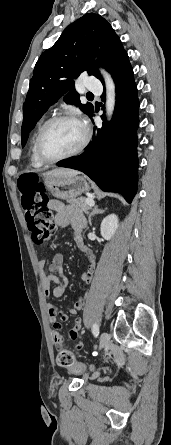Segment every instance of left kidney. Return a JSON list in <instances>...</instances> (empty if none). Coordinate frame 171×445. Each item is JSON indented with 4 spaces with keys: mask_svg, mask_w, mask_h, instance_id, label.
Here are the masks:
<instances>
[{
    "mask_svg": "<svg viewBox=\"0 0 171 445\" xmlns=\"http://www.w3.org/2000/svg\"><path fill=\"white\" fill-rule=\"evenodd\" d=\"M118 217L110 214L103 219L100 227L101 235L105 240H110L118 229Z\"/></svg>",
    "mask_w": 171,
    "mask_h": 445,
    "instance_id": "left-kidney-1",
    "label": "left kidney"
}]
</instances>
